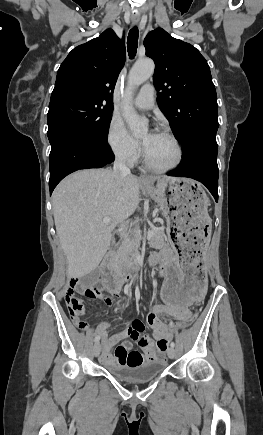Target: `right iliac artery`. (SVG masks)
Listing matches in <instances>:
<instances>
[{
	"mask_svg": "<svg viewBox=\"0 0 263 435\" xmlns=\"http://www.w3.org/2000/svg\"><path fill=\"white\" fill-rule=\"evenodd\" d=\"M99 340H100V337L97 335V336L95 337L94 341H95V342H99Z\"/></svg>",
	"mask_w": 263,
	"mask_h": 435,
	"instance_id": "right-iliac-artery-1",
	"label": "right iliac artery"
}]
</instances>
